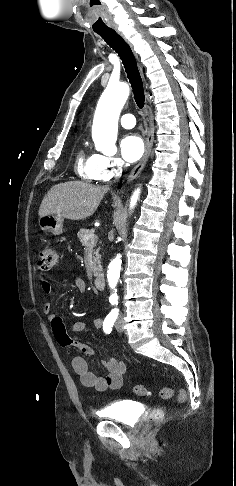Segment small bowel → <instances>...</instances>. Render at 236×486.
I'll use <instances>...</instances> for the list:
<instances>
[{
    "instance_id": "c3829d8e",
    "label": "small bowel",
    "mask_w": 236,
    "mask_h": 486,
    "mask_svg": "<svg viewBox=\"0 0 236 486\" xmlns=\"http://www.w3.org/2000/svg\"><path fill=\"white\" fill-rule=\"evenodd\" d=\"M74 282L80 291H86L87 285L84 280L76 277ZM40 286L43 294L46 297H50L52 294L50 281L45 277H41ZM43 310L47 315L54 335L61 346H75L84 354L94 356V351L90 346L71 338V335L81 333L85 330L86 324L84 322L77 321L71 325L69 330H67L61 317L52 312V305L50 302L44 304ZM103 323V319L95 318L91 325L93 329H101ZM71 365L74 372L80 377L82 385L85 387L103 392L108 389H120L123 385L126 365L119 359L112 358L109 361L103 362L107 373L102 377L97 376L94 372L90 371L86 359L81 356L74 357L71 361Z\"/></svg>"
}]
</instances>
